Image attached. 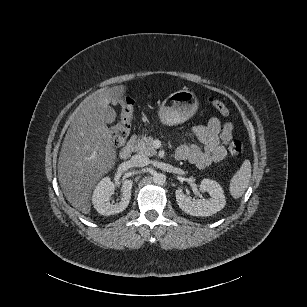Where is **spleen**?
<instances>
[{"instance_id":"spleen-1","label":"spleen","mask_w":307,"mask_h":307,"mask_svg":"<svg viewBox=\"0 0 307 307\" xmlns=\"http://www.w3.org/2000/svg\"><path fill=\"white\" fill-rule=\"evenodd\" d=\"M251 179V163L245 160L240 169L234 174L230 181V193L233 198L241 197L249 186Z\"/></svg>"}]
</instances>
